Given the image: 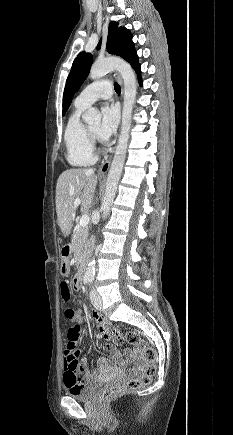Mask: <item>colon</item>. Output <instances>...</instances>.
Masks as SVG:
<instances>
[{"label":"colon","mask_w":233,"mask_h":435,"mask_svg":"<svg viewBox=\"0 0 233 435\" xmlns=\"http://www.w3.org/2000/svg\"><path fill=\"white\" fill-rule=\"evenodd\" d=\"M75 315L76 312L74 309H67L66 316L68 319L73 320L75 318ZM112 340L116 344H123L124 342L137 344L138 347L141 349L143 358L148 365L146 366L144 373L141 376L128 379L123 383H115L104 387L100 393V400L103 403L110 402L111 400L117 398L122 394L139 390L143 385L149 384L156 371L154 364L157 354L156 349L140 341L135 332L130 331L127 332L125 336H123L119 330L114 329L112 331ZM74 347V343L68 342L64 347V353H73ZM69 380L73 385L70 389L71 391H74L76 389V386L81 385V381L77 377L70 376Z\"/></svg>","instance_id":"colon-1"}]
</instances>
